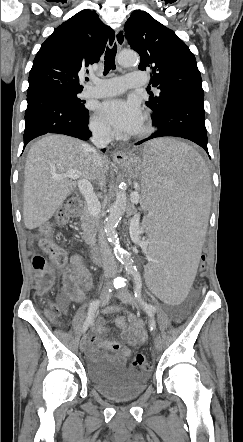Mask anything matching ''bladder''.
I'll list each match as a JSON object with an SVG mask.
<instances>
[{
  "instance_id": "31cf9c89",
  "label": "bladder",
  "mask_w": 243,
  "mask_h": 442,
  "mask_svg": "<svg viewBox=\"0 0 243 442\" xmlns=\"http://www.w3.org/2000/svg\"><path fill=\"white\" fill-rule=\"evenodd\" d=\"M87 376L103 397L123 402L138 398L145 390L149 376L126 366L120 359L107 354L92 355L86 366Z\"/></svg>"
}]
</instances>
